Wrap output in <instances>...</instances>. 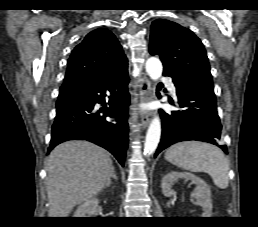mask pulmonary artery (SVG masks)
<instances>
[{"instance_id":"pulmonary-artery-1","label":"pulmonary artery","mask_w":258,"mask_h":227,"mask_svg":"<svg viewBox=\"0 0 258 227\" xmlns=\"http://www.w3.org/2000/svg\"><path fill=\"white\" fill-rule=\"evenodd\" d=\"M161 80H162L163 82L167 83L168 86H169V89H170L171 93H172L173 95H176L175 86L173 85V83H171L170 79H168V78H163V79H161Z\"/></svg>"}]
</instances>
